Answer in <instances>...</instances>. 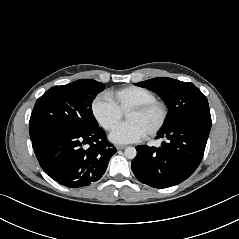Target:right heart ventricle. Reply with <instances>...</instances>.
Segmentation results:
<instances>
[{"mask_svg": "<svg viewBox=\"0 0 239 239\" xmlns=\"http://www.w3.org/2000/svg\"><path fill=\"white\" fill-rule=\"evenodd\" d=\"M122 113L132 107L157 100L155 93L140 86H127L106 94Z\"/></svg>", "mask_w": 239, "mask_h": 239, "instance_id": "e07e8e85", "label": "right heart ventricle"}]
</instances>
